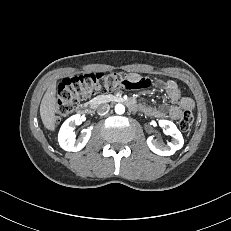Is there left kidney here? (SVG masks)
I'll use <instances>...</instances> for the list:
<instances>
[{
	"instance_id": "5707ae66",
	"label": "left kidney",
	"mask_w": 231,
	"mask_h": 231,
	"mask_svg": "<svg viewBox=\"0 0 231 231\" xmlns=\"http://www.w3.org/2000/svg\"><path fill=\"white\" fill-rule=\"evenodd\" d=\"M159 126L169 133L172 137V142H169L167 145H163L154 139L153 136H150L147 139V145L152 152L160 156L173 155L177 150L182 148L184 144L183 136L176 125L171 121L160 120Z\"/></svg>"
}]
</instances>
